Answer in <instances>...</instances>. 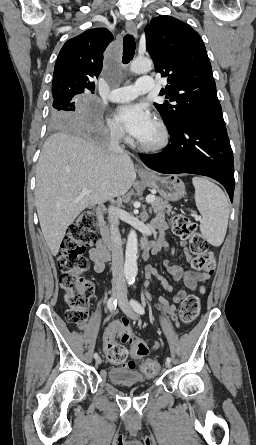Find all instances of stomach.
<instances>
[{
	"mask_svg": "<svg viewBox=\"0 0 256 445\" xmlns=\"http://www.w3.org/2000/svg\"><path fill=\"white\" fill-rule=\"evenodd\" d=\"M141 179L146 186L158 192L166 201L176 202L185 194V185L177 176L152 175L150 178L141 177Z\"/></svg>",
	"mask_w": 256,
	"mask_h": 445,
	"instance_id": "obj_1",
	"label": "stomach"
}]
</instances>
